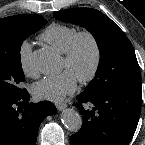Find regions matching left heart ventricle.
Here are the masks:
<instances>
[{
  "label": "left heart ventricle",
  "mask_w": 145,
  "mask_h": 145,
  "mask_svg": "<svg viewBox=\"0 0 145 145\" xmlns=\"http://www.w3.org/2000/svg\"><path fill=\"white\" fill-rule=\"evenodd\" d=\"M92 61L93 52L91 45L88 41L83 40L80 44L75 61L69 66H67L65 62L62 61V67L72 72L78 79L90 70Z\"/></svg>",
  "instance_id": "obj_1"
}]
</instances>
